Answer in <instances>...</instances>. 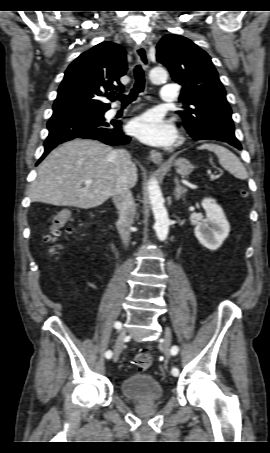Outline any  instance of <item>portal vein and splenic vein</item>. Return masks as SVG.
I'll return each mask as SVG.
<instances>
[{"label":"portal vein and splenic vein","instance_id":"1","mask_svg":"<svg viewBox=\"0 0 270 453\" xmlns=\"http://www.w3.org/2000/svg\"><path fill=\"white\" fill-rule=\"evenodd\" d=\"M217 177H219V175L211 174V180H214V179H216ZM85 184H86V185L92 184V180H91V179H86V180H85Z\"/></svg>","mask_w":270,"mask_h":453}]
</instances>
